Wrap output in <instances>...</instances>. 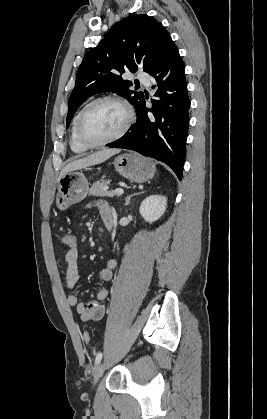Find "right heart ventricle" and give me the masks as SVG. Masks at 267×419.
Masks as SVG:
<instances>
[{"label": "right heart ventricle", "mask_w": 267, "mask_h": 419, "mask_svg": "<svg viewBox=\"0 0 267 419\" xmlns=\"http://www.w3.org/2000/svg\"><path fill=\"white\" fill-rule=\"evenodd\" d=\"M77 116H78V114L74 117L73 122H72L71 139H70L71 140V149L75 153H84L88 150V148H86L82 144H80L79 141L76 138V135H75V125H76Z\"/></svg>", "instance_id": "right-heart-ventricle-1"}]
</instances>
